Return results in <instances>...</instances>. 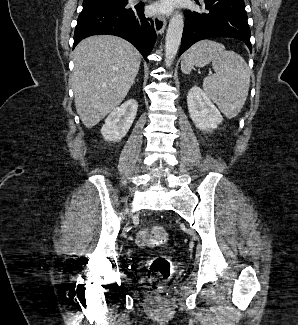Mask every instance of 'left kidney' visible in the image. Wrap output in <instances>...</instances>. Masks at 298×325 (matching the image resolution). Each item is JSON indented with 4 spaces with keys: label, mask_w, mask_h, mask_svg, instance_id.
I'll return each mask as SVG.
<instances>
[{
    "label": "left kidney",
    "mask_w": 298,
    "mask_h": 325,
    "mask_svg": "<svg viewBox=\"0 0 298 325\" xmlns=\"http://www.w3.org/2000/svg\"><path fill=\"white\" fill-rule=\"evenodd\" d=\"M187 108L191 120L200 130H213L224 120L220 110L211 102L200 86H191L187 92Z\"/></svg>",
    "instance_id": "5707ae66"
}]
</instances>
